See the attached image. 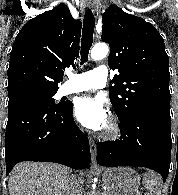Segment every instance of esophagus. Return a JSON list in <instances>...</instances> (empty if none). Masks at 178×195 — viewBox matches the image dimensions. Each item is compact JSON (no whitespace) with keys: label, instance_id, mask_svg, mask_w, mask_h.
<instances>
[{"label":"esophagus","instance_id":"obj_1","mask_svg":"<svg viewBox=\"0 0 178 195\" xmlns=\"http://www.w3.org/2000/svg\"><path fill=\"white\" fill-rule=\"evenodd\" d=\"M89 144H90L92 163H93V165H97V161H96L97 145H96V142L90 138Z\"/></svg>","mask_w":178,"mask_h":195}]
</instances>
